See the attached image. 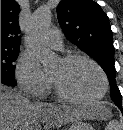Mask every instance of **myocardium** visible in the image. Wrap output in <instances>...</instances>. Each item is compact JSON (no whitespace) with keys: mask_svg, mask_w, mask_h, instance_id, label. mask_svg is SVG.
Returning a JSON list of instances; mask_svg holds the SVG:
<instances>
[{"mask_svg":"<svg viewBox=\"0 0 123 130\" xmlns=\"http://www.w3.org/2000/svg\"><path fill=\"white\" fill-rule=\"evenodd\" d=\"M60 60L63 61L64 63H69V62H72V61H75V60H84V61L90 63L100 73L101 78H102V82H103V86H102L101 92L95 97H92V98H77V97H74V96L68 94L61 87V85L57 82V80L54 77H52L51 75H49L53 90L59 98H61L64 101L70 102V103L89 104V103L97 102L105 96V94L108 91L109 81H108V78H107V75H106L104 69L101 67V65L98 62H96L93 58H91L87 55L81 54V53L66 54V55L62 56L60 58Z\"/></svg>","mask_w":123,"mask_h":130,"instance_id":"1","label":"myocardium"}]
</instances>
